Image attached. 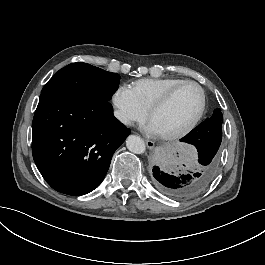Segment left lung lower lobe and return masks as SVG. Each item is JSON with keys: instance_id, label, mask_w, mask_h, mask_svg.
Here are the masks:
<instances>
[{"instance_id": "1", "label": "left lung lower lobe", "mask_w": 265, "mask_h": 265, "mask_svg": "<svg viewBox=\"0 0 265 265\" xmlns=\"http://www.w3.org/2000/svg\"><path fill=\"white\" fill-rule=\"evenodd\" d=\"M222 130L202 122L182 142L193 145L198 160L191 170H170L167 155L160 156L151 171L152 185L163 195L172 199H190L204 192L212 183L219 169V147Z\"/></svg>"}]
</instances>
